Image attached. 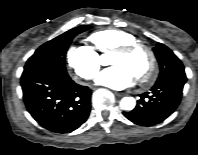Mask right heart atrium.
Returning <instances> with one entry per match:
<instances>
[{
	"instance_id": "obj_1",
	"label": "right heart atrium",
	"mask_w": 198,
	"mask_h": 155,
	"mask_svg": "<svg viewBox=\"0 0 198 155\" xmlns=\"http://www.w3.org/2000/svg\"><path fill=\"white\" fill-rule=\"evenodd\" d=\"M66 61L75 77L87 80L92 79L100 68L98 52L85 44L71 45L66 53Z\"/></svg>"
}]
</instances>
